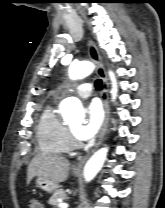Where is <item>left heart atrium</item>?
I'll use <instances>...</instances> for the list:
<instances>
[{
  "label": "left heart atrium",
  "instance_id": "39dd6f15",
  "mask_svg": "<svg viewBox=\"0 0 165 208\" xmlns=\"http://www.w3.org/2000/svg\"><path fill=\"white\" fill-rule=\"evenodd\" d=\"M103 120V111L97 101H92L86 108V119L77 131V137L82 141L92 140L98 133Z\"/></svg>",
  "mask_w": 165,
  "mask_h": 208
}]
</instances>
